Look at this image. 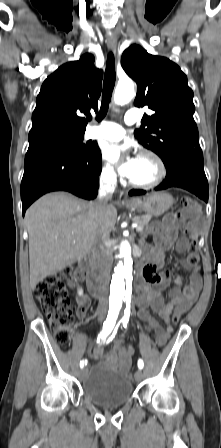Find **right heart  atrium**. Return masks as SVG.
Masks as SVG:
<instances>
[{"label":"right heart atrium","instance_id":"1","mask_svg":"<svg viewBox=\"0 0 221 448\" xmlns=\"http://www.w3.org/2000/svg\"><path fill=\"white\" fill-rule=\"evenodd\" d=\"M100 179L106 185H115L117 183V173L110 163L103 164L101 168Z\"/></svg>","mask_w":221,"mask_h":448}]
</instances>
